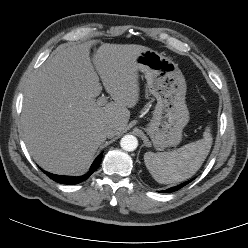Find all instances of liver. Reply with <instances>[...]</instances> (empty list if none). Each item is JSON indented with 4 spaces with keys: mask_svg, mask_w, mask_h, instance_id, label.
Returning a JSON list of instances; mask_svg holds the SVG:
<instances>
[{
    "mask_svg": "<svg viewBox=\"0 0 248 248\" xmlns=\"http://www.w3.org/2000/svg\"><path fill=\"white\" fill-rule=\"evenodd\" d=\"M59 46L25 89L21 131L30 155L44 170L83 174L113 125L120 134L139 101L138 55L148 47L103 43ZM113 101L100 106L99 76Z\"/></svg>",
    "mask_w": 248,
    "mask_h": 248,
    "instance_id": "obj_1",
    "label": "liver"
}]
</instances>
